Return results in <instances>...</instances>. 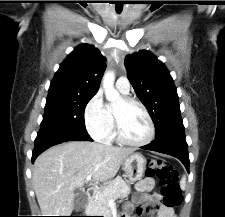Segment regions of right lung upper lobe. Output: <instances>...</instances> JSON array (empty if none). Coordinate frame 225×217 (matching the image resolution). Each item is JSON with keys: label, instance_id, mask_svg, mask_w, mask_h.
I'll use <instances>...</instances> for the list:
<instances>
[{"label": "right lung upper lobe", "instance_id": "1", "mask_svg": "<svg viewBox=\"0 0 225 217\" xmlns=\"http://www.w3.org/2000/svg\"><path fill=\"white\" fill-rule=\"evenodd\" d=\"M105 70V59L93 45L76 47L60 64L49 93L95 95Z\"/></svg>", "mask_w": 225, "mask_h": 217}]
</instances>
